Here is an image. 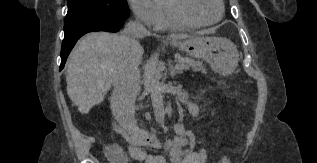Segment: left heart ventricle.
Returning a JSON list of instances; mask_svg holds the SVG:
<instances>
[{
    "label": "left heart ventricle",
    "instance_id": "1",
    "mask_svg": "<svg viewBox=\"0 0 317 163\" xmlns=\"http://www.w3.org/2000/svg\"><path fill=\"white\" fill-rule=\"evenodd\" d=\"M182 7L189 18L200 21L214 20L220 12L217 0H183Z\"/></svg>",
    "mask_w": 317,
    "mask_h": 163
}]
</instances>
